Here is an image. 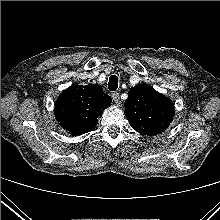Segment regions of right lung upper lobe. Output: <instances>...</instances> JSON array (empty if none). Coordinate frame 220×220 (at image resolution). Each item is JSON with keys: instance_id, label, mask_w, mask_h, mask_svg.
<instances>
[{"instance_id": "cb5924a9", "label": "right lung upper lobe", "mask_w": 220, "mask_h": 220, "mask_svg": "<svg viewBox=\"0 0 220 220\" xmlns=\"http://www.w3.org/2000/svg\"><path fill=\"white\" fill-rule=\"evenodd\" d=\"M111 103V97L97 84H72L60 94L54 111L60 126L77 136L93 130L97 118Z\"/></svg>"}]
</instances>
